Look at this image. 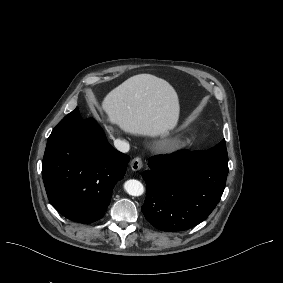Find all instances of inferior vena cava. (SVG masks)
Returning <instances> with one entry per match:
<instances>
[{
	"mask_svg": "<svg viewBox=\"0 0 283 283\" xmlns=\"http://www.w3.org/2000/svg\"><path fill=\"white\" fill-rule=\"evenodd\" d=\"M114 146L120 151V152H127L129 149V145L127 143H124L122 141L119 140H115L114 141Z\"/></svg>",
	"mask_w": 283,
	"mask_h": 283,
	"instance_id": "inferior-vena-cava-1",
	"label": "inferior vena cava"
}]
</instances>
